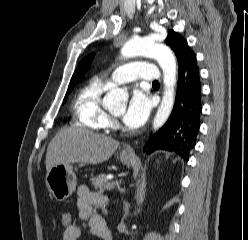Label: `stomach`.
I'll return each instance as SVG.
<instances>
[{
  "label": "stomach",
  "instance_id": "stomach-1",
  "mask_svg": "<svg viewBox=\"0 0 248 240\" xmlns=\"http://www.w3.org/2000/svg\"><path fill=\"white\" fill-rule=\"evenodd\" d=\"M134 160V155H120V161L125 165H130ZM46 185L58 201L69 198L77 186V178L70 164H58L53 166L46 174Z\"/></svg>",
  "mask_w": 248,
  "mask_h": 240
}]
</instances>
